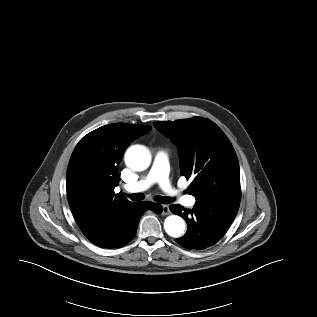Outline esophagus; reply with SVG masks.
I'll return each instance as SVG.
<instances>
[{"instance_id":"1","label":"esophagus","mask_w":317,"mask_h":317,"mask_svg":"<svg viewBox=\"0 0 317 317\" xmlns=\"http://www.w3.org/2000/svg\"><path fill=\"white\" fill-rule=\"evenodd\" d=\"M170 213V209L168 205L162 206V215H168Z\"/></svg>"}]
</instances>
